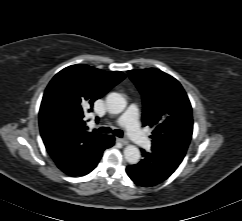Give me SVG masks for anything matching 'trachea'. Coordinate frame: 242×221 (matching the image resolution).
<instances>
[{
    "mask_svg": "<svg viewBox=\"0 0 242 221\" xmlns=\"http://www.w3.org/2000/svg\"><path fill=\"white\" fill-rule=\"evenodd\" d=\"M98 132L100 133H111L113 132L114 135L118 136V137H122L123 136V132L119 129H115L114 131H112L109 127H101L98 129Z\"/></svg>",
    "mask_w": 242,
    "mask_h": 221,
    "instance_id": "trachea-1",
    "label": "trachea"
}]
</instances>
